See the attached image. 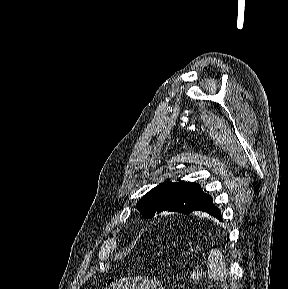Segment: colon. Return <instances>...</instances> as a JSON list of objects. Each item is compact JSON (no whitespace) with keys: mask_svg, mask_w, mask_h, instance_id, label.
I'll return each instance as SVG.
<instances>
[{"mask_svg":"<svg viewBox=\"0 0 288 289\" xmlns=\"http://www.w3.org/2000/svg\"><path fill=\"white\" fill-rule=\"evenodd\" d=\"M101 289H163V285L159 279L136 274L112 279Z\"/></svg>","mask_w":288,"mask_h":289,"instance_id":"5ec220e1","label":"colon"}]
</instances>
